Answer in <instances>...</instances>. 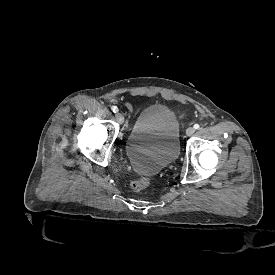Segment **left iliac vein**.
<instances>
[{
    "label": "left iliac vein",
    "mask_w": 275,
    "mask_h": 275,
    "mask_svg": "<svg viewBox=\"0 0 275 275\" xmlns=\"http://www.w3.org/2000/svg\"><path fill=\"white\" fill-rule=\"evenodd\" d=\"M194 133H195V128H194V127H189V128L186 130V135H187V136H192Z\"/></svg>",
    "instance_id": "left-iliac-vein-1"
}]
</instances>
